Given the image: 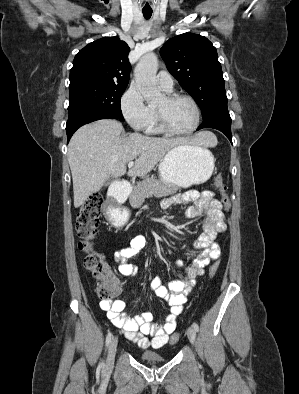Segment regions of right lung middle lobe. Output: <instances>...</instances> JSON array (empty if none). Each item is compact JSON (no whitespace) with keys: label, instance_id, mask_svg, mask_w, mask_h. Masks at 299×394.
I'll use <instances>...</instances> for the list:
<instances>
[{"label":"right lung middle lobe","instance_id":"dd1d6c3e","mask_svg":"<svg viewBox=\"0 0 299 394\" xmlns=\"http://www.w3.org/2000/svg\"><path fill=\"white\" fill-rule=\"evenodd\" d=\"M127 86L89 83L69 87L70 98L68 111L98 110L105 111L123 120L120 107L121 96Z\"/></svg>","mask_w":299,"mask_h":394}]
</instances>
